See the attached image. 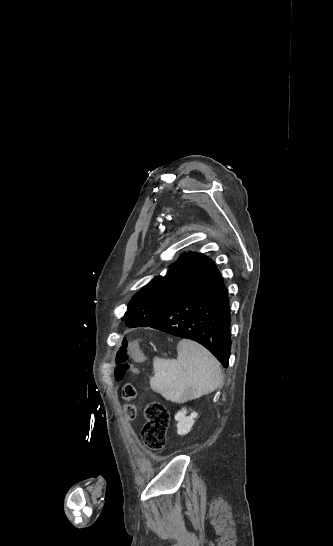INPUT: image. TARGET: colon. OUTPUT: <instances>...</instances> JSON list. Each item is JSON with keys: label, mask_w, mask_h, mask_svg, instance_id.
<instances>
[{"label": "colon", "mask_w": 333, "mask_h": 546, "mask_svg": "<svg viewBox=\"0 0 333 546\" xmlns=\"http://www.w3.org/2000/svg\"><path fill=\"white\" fill-rule=\"evenodd\" d=\"M135 342L124 341L116 353L115 378L124 379L127 375L133 376L138 373V368L128 362L130 358L129 348ZM138 381L136 378L133 380ZM122 395L125 401L132 402L137 395L136 387L127 383L123 387ZM146 419L142 430V438L145 445L154 452L161 451L167 444V433L170 425V414L167 408L159 402H150L144 409Z\"/></svg>", "instance_id": "1"}]
</instances>
